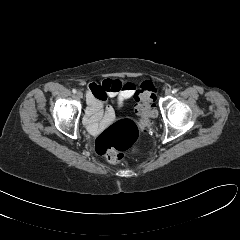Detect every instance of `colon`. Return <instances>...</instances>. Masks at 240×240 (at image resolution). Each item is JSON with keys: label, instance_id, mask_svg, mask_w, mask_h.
Listing matches in <instances>:
<instances>
[{"label": "colon", "instance_id": "1", "mask_svg": "<svg viewBox=\"0 0 240 240\" xmlns=\"http://www.w3.org/2000/svg\"><path fill=\"white\" fill-rule=\"evenodd\" d=\"M155 93L156 88L152 82L144 81L139 85L135 92V112L139 122L122 119L104 130L95 141V149L99 155L115 164L121 161L125 151L134 148L141 132L150 126V119L157 113Z\"/></svg>", "mask_w": 240, "mask_h": 240}]
</instances>
